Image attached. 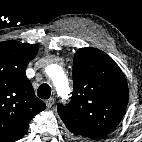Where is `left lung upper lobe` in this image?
Listing matches in <instances>:
<instances>
[{
  "mask_svg": "<svg viewBox=\"0 0 142 142\" xmlns=\"http://www.w3.org/2000/svg\"><path fill=\"white\" fill-rule=\"evenodd\" d=\"M74 90L67 105L58 104V114L76 140H100L121 121L129 89L119 66L103 51L79 49L73 60Z\"/></svg>",
  "mask_w": 142,
  "mask_h": 142,
  "instance_id": "5c2ea615",
  "label": "left lung upper lobe"
}]
</instances>
